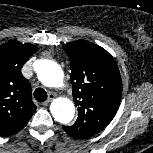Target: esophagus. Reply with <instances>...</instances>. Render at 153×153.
Masks as SVG:
<instances>
[{
    "label": "esophagus",
    "instance_id": "1",
    "mask_svg": "<svg viewBox=\"0 0 153 153\" xmlns=\"http://www.w3.org/2000/svg\"><path fill=\"white\" fill-rule=\"evenodd\" d=\"M54 97V94H49L48 99L43 103V105L47 106L54 99Z\"/></svg>",
    "mask_w": 153,
    "mask_h": 153
}]
</instances>
